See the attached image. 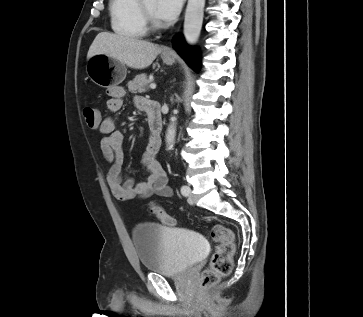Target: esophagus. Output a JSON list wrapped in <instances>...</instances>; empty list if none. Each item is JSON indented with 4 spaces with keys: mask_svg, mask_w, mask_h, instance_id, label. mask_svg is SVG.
Returning a JSON list of instances; mask_svg holds the SVG:
<instances>
[{
    "mask_svg": "<svg viewBox=\"0 0 363 317\" xmlns=\"http://www.w3.org/2000/svg\"><path fill=\"white\" fill-rule=\"evenodd\" d=\"M164 54L167 55V56H173L174 55L173 51L171 49H169V48L164 50Z\"/></svg>",
    "mask_w": 363,
    "mask_h": 317,
    "instance_id": "esophagus-1",
    "label": "esophagus"
}]
</instances>
